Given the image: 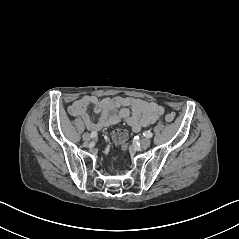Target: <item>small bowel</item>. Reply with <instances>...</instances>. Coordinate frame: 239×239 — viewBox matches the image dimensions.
<instances>
[{
	"instance_id": "obj_1",
	"label": "small bowel",
	"mask_w": 239,
	"mask_h": 239,
	"mask_svg": "<svg viewBox=\"0 0 239 239\" xmlns=\"http://www.w3.org/2000/svg\"><path fill=\"white\" fill-rule=\"evenodd\" d=\"M93 105L97 119L90 116L88 106ZM74 117H80L90 131L125 121L134 132L156 123L164 113V108L155 103L133 97L98 98L86 95L74 101L68 108Z\"/></svg>"
}]
</instances>
